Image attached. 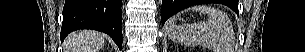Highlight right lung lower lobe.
Returning <instances> with one entry per match:
<instances>
[{
  "instance_id": "obj_1",
  "label": "right lung lower lobe",
  "mask_w": 305,
  "mask_h": 52,
  "mask_svg": "<svg viewBox=\"0 0 305 52\" xmlns=\"http://www.w3.org/2000/svg\"><path fill=\"white\" fill-rule=\"evenodd\" d=\"M122 0H66L61 41L72 31L92 29L108 34L122 48Z\"/></svg>"
}]
</instances>
